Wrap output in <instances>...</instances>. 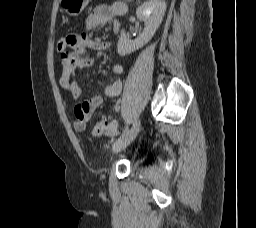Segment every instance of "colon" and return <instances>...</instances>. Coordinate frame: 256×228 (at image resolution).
<instances>
[{"instance_id":"colon-1","label":"colon","mask_w":256,"mask_h":228,"mask_svg":"<svg viewBox=\"0 0 256 228\" xmlns=\"http://www.w3.org/2000/svg\"><path fill=\"white\" fill-rule=\"evenodd\" d=\"M58 45L59 47H62L64 45V37L59 39ZM109 123L110 122L106 118L100 119L93 127L94 135L103 134L107 130Z\"/></svg>"}]
</instances>
